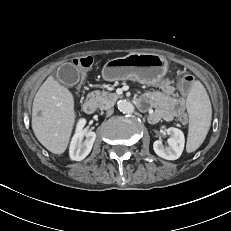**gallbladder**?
I'll use <instances>...</instances> for the list:
<instances>
[{
    "instance_id": "bac80fb5",
    "label": "gallbladder",
    "mask_w": 231,
    "mask_h": 231,
    "mask_svg": "<svg viewBox=\"0 0 231 231\" xmlns=\"http://www.w3.org/2000/svg\"><path fill=\"white\" fill-rule=\"evenodd\" d=\"M79 72L76 67L71 63L61 65L57 69V79L65 86H74L79 82Z\"/></svg>"
}]
</instances>
